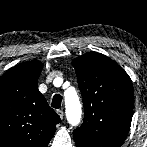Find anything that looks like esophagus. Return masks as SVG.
I'll return each instance as SVG.
<instances>
[{
    "label": "esophagus",
    "mask_w": 147,
    "mask_h": 147,
    "mask_svg": "<svg viewBox=\"0 0 147 147\" xmlns=\"http://www.w3.org/2000/svg\"><path fill=\"white\" fill-rule=\"evenodd\" d=\"M56 112H57V114L59 115V117H60L61 119L64 118V112H63L61 109H58Z\"/></svg>",
    "instance_id": "esophagus-1"
}]
</instances>
